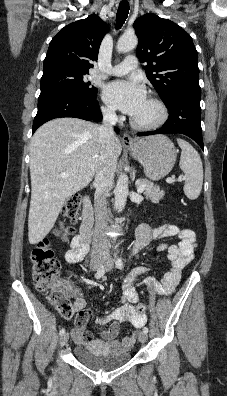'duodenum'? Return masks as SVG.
Segmentation results:
<instances>
[{"label":"duodenum","mask_w":227,"mask_h":396,"mask_svg":"<svg viewBox=\"0 0 227 396\" xmlns=\"http://www.w3.org/2000/svg\"><path fill=\"white\" fill-rule=\"evenodd\" d=\"M94 223L93 206L89 196L83 198L82 222L80 226V238L88 245Z\"/></svg>","instance_id":"duodenum-1"}]
</instances>
